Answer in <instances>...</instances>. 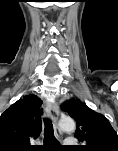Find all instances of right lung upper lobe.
I'll list each match as a JSON object with an SVG mask.
<instances>
[{"label": "right lung upper lobe", "mask_w": 118, "mask_h": 151, "mask_svg": "<svg viewBox=\"0 0 118 151\" xmlns=\"http://www.w3.org/2000/svg\"><path fill=\"white\" fill-rule=\"evenodd\" d=\"M42 100L29 94L0 116V151H30V139L41 132Z\"/></svg>", "instance_id": "right-lung-upper-lobe-1"}]
</instances>
